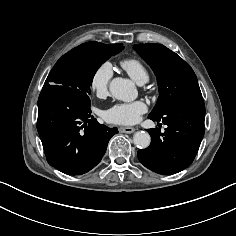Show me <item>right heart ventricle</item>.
Returning a JSON list of instances; mask_svg holds the SVG:
<instances>
[{
	"label": "right heart ventricle",
	"mask_w": 236,
	"mask_h": 236,
	"mask_svg": "<svg viewBox=\"0 0 236 236\" xmlns=\"http://www.w3.org/2000/svg\"><path fill=\"white\" fill-rule=\"evenodd\" d=\"M122 68L137 83H145L149 79V73L146 67L137 59L127 58L121 61Z\"/></svg>",
	"instance_id": "e07e8e85"
}]
</instances>
